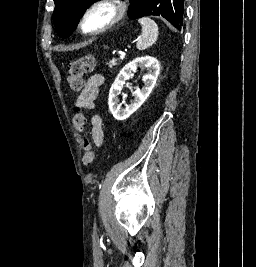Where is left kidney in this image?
Listing matches in <instances>:
<instances>
[{"instance_id":"1","label":"left kidney","mask_w":256,"mask_h":267,"mask_svg":"<svg viewBox=\"0 0 256 267\" xmlns=\"http://www.w3.org/2000/svg\"><path fill=\"white\" fill-rule=\"evenodd\" d=\"M137 68H147L148 70L147 74L142 78L144 86L142 90L132 92L134 100H132L130 106H126L125 110H121L122 104H119L118 96L121 94L126 80H130L133 72H135ZM159 72L160 64L158 60L152 58V56L135 58V60H132V62H129V64H126V66L120 70L115 82H113L110 88L108 98L109 110L116 120H126V118H129L133 112H136V110L144 104L156 84Z\"/></svg>"}]
</instances>
